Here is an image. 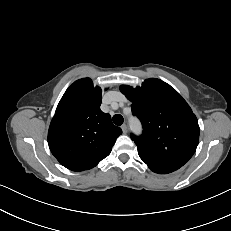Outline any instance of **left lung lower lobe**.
Masks as SVG:
<instances>
[{
    "label": "left lung lower lobe",
    "mask_w": 231,
    "mask_h": 231,
    "mask_svg": "<svg viewBox=\"0 0 231 231\" xmlns=\"http://www.w3.org/2000/svg\"><path fill=\"white\" fill-rule=\"evenodd\" d=\"M152 171L156 172V173L166 174L165 172H160V171H156V170H152Z\"/></svg>",
    "instance_id": "1"
}]
</instances>
